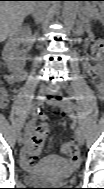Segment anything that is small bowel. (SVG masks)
Segmentation results:
<instances>
[{
  "label": "small bowel",
  "mask_w": 104,
  "mask_h": 189,
  "mask_svg": "<svg viewBox=\"0 0 104 189\" xmlns=\"http://www.w3.org/2000/svg\"><path fill=\"white\" fill-rule=\"evenodd\" d=\"M95 67H100V66H98L97 64H91L89 62L85 63V69L89 73L91 79L95 82L96 89L99 92H102V90H103L102 83L100 82L99 78H96L93 75V69ZM26 77H27L26 71L19 70V71H16V72L7 73L4 76L3 79H4V82L7 85H12V84H14V83H16L18 81L25 80ZM0 92H1V95H0V104H1L2 107H6L9 104V102H10V96H9V94H8V92H7V90L5 88H2ZM32 137H33V125H29L27 127V129H26V143L24 144V146L22 148V151H21V159L23 161L27 160V153H28V149H29V145H30Z\"/></svg>",
  "instance_id": "obj_1"
}]
</instances>
